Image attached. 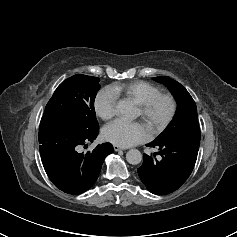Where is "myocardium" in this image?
<instances>
[{
  "instance_id": "myocardium-1",
  "label": "myocardium",
  "mask_w": 237,
  "mask_h": 237,
  "mask_svg": "<svg viewBox=\"0 0 237 237\" xmlns=\"http://www.w3.org/2000/svg\"><path fill=\"white\" fill-rule=\"evenodd\" d=\"M166 100L169 103V111L167 115L159 120H153V111L159 101ZM140 111V117L147 123L150 127L151 135H156L164 130L169 123L173 120L177 111V102L175 98L169 93H158L146 101L137 104Z\"/></svg>"
}]
</instances>
